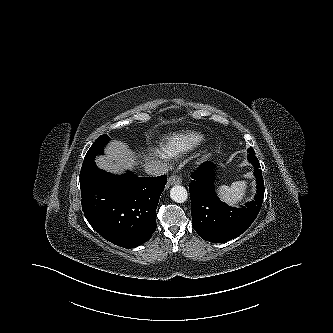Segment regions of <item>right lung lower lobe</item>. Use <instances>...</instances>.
Wrapping results in <instances>:
<instances>
[{
	"label": "right lung lower lobe",
	"mask_w": 333,
	"mask_h": 333,
	"mask_svg": "<svg viewBox=\"0 0 333 333\" xmlns=\"http://www.w3.org/2000/svg\"><path fill=\"white\" fill-rule=\"evenodd\" d=\"M167 176H114L96 167L80 175L82 210L104 239L123 248L148 241L156 230L155 211Z\"/></svg>",
	"instance_id": "obj_1"
}]
</instances>
